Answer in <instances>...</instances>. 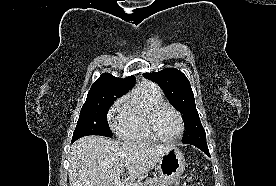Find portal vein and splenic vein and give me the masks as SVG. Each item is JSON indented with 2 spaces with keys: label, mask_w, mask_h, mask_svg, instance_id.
Returning a JSON list of instances; mask_svg holds the SVG:
<instances>
[{
  "label": "portal vein and splenic vein",
  "mask_w": 276,
  "mask_h": 186,
  "mask_svg": "<svg viewBox=\"0 0 276 186\" xmlns=\"http://www.w3.org/2000/svg\"><path fill=\"white\" fill-rule=\"evenodd\" d=\"M111 181L115 186H139L138 184L133 182H121L119 175L113 177Z\"/></svg>",
  "instance_id": "18ae733b"
}]
</instances>
